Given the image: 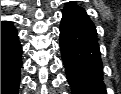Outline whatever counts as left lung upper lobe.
<instances>
[{
	"mask_svg": "<svg viewBox=\"0 0 121 94\" xmlns=\"http://www.w3.org/2000/svg\"><path fill=\"white\" fill-rule=\"evenodd\" d=\"M67 6L85 13V10L76 3H69Z\"/></svg>",
	"mask_w": 121,
	"mask_h": 94,
	"instance_id": "obj_1",
	"label": "left lung upper lobe"
}]
</instances>
